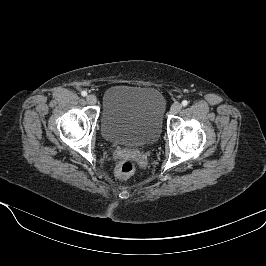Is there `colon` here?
Listing matches in <instances>:
<instances>
[{"mask_svg": "<svg viewBox=\"0 0 266 266\" xmlns=\"http://www.w3.org/2000/svg\"><path fill=\"white\" fill-rule=\"evenodd\" d=\"M136 170V162L131 157H125L119 161L115 168V174L120 179L130 177Z\"/></svg>", "mask_w": 266, "mask_h": 266, "instance_id": "obj_1", "label": "colon"}]
</instances>
